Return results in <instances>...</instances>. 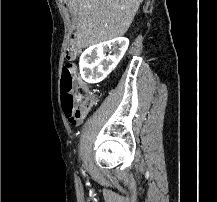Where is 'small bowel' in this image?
<instances>
[{"label": "small bowel", "mask_w": 217, "mask_h": 202, "mask_svg": "<svg viewBox=\"0 0 217 202\" xmlns=\"http://www.w3.org/2000/svg\"><path fill=\"white\" fill-rule=\"evenodd\" d=\"M78 121H85V116H78Z\"/></svg>", "instance_id": "1"}]
</instances>
